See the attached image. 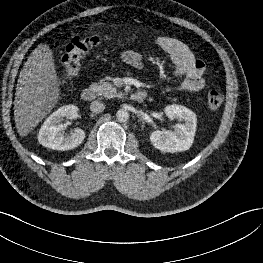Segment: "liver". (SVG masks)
I'll list each match as a JSON object with an SVG mask.
<instances>
[{
  "mask_svg": "<svg viewBox=\"0 0 263 263\" xmlns=\"http://www.w3.org/2000/svg\"><path fill=\"white\" fill-rule=\"evenodd\" d=\"M60 81L48 44L38 45L19 74L14 101V120L21 137L27 136L55 107Z\"/></svg>",
  "mask_w": 263,
  "mask_h": 263,
  "instance_id": "6515ba94",
  "label": "liver"
}]
</instances>
